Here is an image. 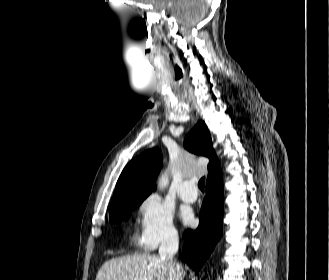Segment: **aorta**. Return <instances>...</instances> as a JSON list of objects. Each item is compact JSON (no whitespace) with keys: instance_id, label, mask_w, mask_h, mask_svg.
<instances>
[{"instance_id":"1","label":"aorta","mask_w":329,"mask_h":280,"mask_svg":"<svg viewBox=\"0 0 329 280\" xmlns=\"http://www.w3.org/2000/svg\"><path fill=\"white\" fill-rule=\"evenodd\" d=\"M169 184V175L167 173H164L160 176L159 178V183H158V187L160 189L165 188L167 185Z\"/></svg>"}]
</instances>
